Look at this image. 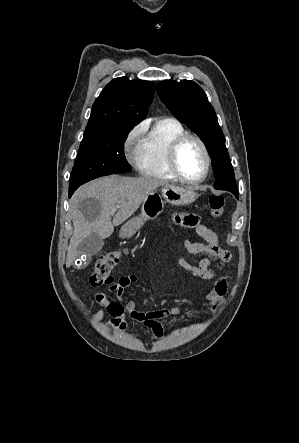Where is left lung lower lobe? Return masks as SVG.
<instances>
[{
	"instance_id": "left-lung-lower-lobe-1",
	"label": "left lung lower lobe",
	"mask_w": 299,
	"mask_h": 443,
	"mask_svg": "<svg viewBox=\"0 0 299 443\" xmlns=\"http://www.w3.org/2000/svg\"><path fill=\"white\" fill-rule=\"evenodd\" d=\"M230 192L233 193L237 199H239L238 191L231 190Z\"/></svg>"
}]
</instances>
